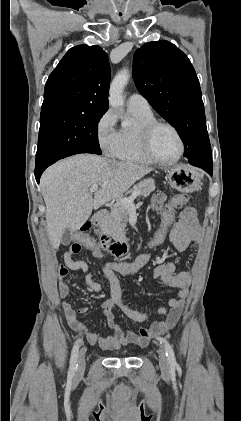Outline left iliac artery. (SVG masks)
<instances>
[{
    "instance_id": "1",
    "label": "left iliac artery",
    "mask_w": 241,
    "mask_h": 421,
    "mask_svg": "<svg viewBox=\"0 0 241 421\" xmlns=\"http://www.w3.org/2000/svg\"><path fill=\"white\" fill-rule=\"evenodd\" d=\"M160 341L164 344L165 354H166V357H167L169 367H170L171 370H174L178 366V364L176 362L174 351H173L171 345L169 344V342L166 339L160 338Z\"/></svg>"
}]
</instances>
